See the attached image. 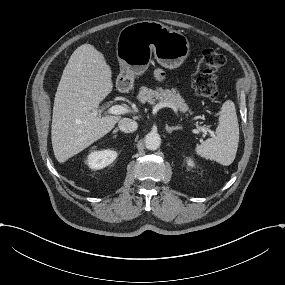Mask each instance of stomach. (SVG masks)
Instances as JSON below:
<instances>
[{"mask_svg": "<svg viewBox=\"0 0 285 285\" xmlns=\"http://www.w3.org/2000/svg\"><path fill=\"white\" fill-rule=\"evenodd\" d=\"M190 53L188 38L156 21H140L125 27L117 37V56L121 72L119 81L132 80L145 72L152 54L166 69L179 68Z\"/></svg>", "mask_w": 285, "mask_h": 285, "instance_id": "obj_1", "label": "stomach"}]
</instances>
